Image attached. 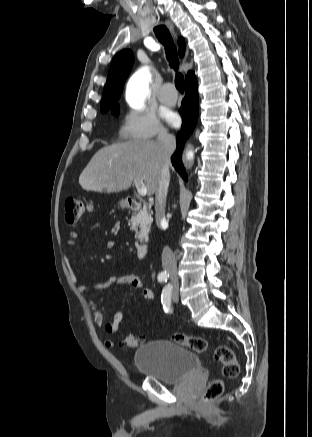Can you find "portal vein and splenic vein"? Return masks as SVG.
Instances as JSON below:
<instances>
[{
	"mask_svg": "<svg viewBox=\"0 0 312 437\" xmlns=\"http://www.w3.org/2000/svg\"><path fill=\"white\" fill-rule=\"evenodd\" d=\"M137 192L141 195V196H146L147 194V188L145 186V184L143 183V181L141 179H135L134 180Z\"/></svg>",
	"mask_w": 312,
	"mask_h": 437,
	"instance_id": "obj_1",
	"label": "portal vein and splenic vein"
}]
</instances>
